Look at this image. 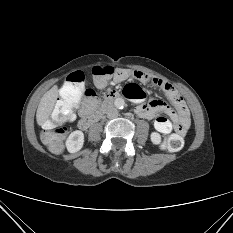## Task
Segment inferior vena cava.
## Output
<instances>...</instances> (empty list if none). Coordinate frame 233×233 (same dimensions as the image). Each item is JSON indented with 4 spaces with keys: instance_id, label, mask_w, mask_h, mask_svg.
<instances>
[{
    "instance_id": "1",
    "label": "inferior vena cava",
    "mask_w": 233,
    "mask_h": 233,
    "mask_svg": "<svg viewBox=\"0 0 233 233\" xmlns=\"http://www.w3.org/2000/svg\"><path fill=\"white\" fill-rule=\"evenodd\" d=\"M118 116V111L115 107H110L107 110V117L108 118H116Z\"/></svg>"
}]
</instances>
